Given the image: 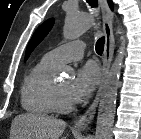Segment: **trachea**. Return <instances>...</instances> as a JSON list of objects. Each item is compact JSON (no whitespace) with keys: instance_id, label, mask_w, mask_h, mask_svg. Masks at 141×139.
I'll return each mask as SVG.
<instances>
[{"instance_id":"3493384b","label":"trachea","mask_w":141,"mask_h":139,"mask_svg":"<svg viewBox=\"0 0 141 139\" xmlns=\"http://www.w3.org/2000/svg\"><path fill=\"white\" fill-rule=\"evenodd\" d=\"M86 1L93 8L98 6V0H86ZM104 43H105V37H101L97 40L96 52L98 55H101L103 53Z\"/></svg>"}]
</instances>
